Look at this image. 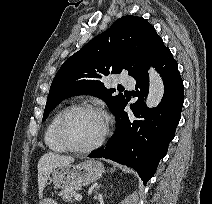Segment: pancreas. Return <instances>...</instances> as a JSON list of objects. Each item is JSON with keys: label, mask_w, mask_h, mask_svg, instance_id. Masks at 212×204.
<instances>
[{"label": "pancreas", "mask_w": 212, "mask_h": 204, "mask_svg": "<svg viewBox=\"0 0 212 204\" xmlns=\"http://www.w3.org/2000/svg\"><path fill=\"white\" fill-rule=\"evenodd\" d=\"M59 195L65 200L66 202H73V197L76 195L75 188L68 187L64 188L62 191L59 192Z\"/></svg>", "instance_id": "cf45deb5"}]
</instances>
